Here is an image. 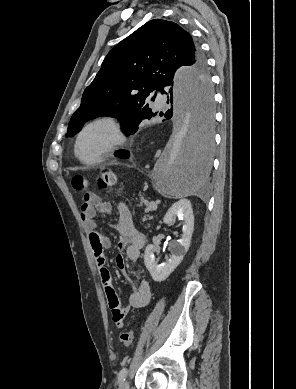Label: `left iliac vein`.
Returning a JSON list of instances; mask_svg holds the SVG:
<instances>
[{
    "mask_svg": "<svg viewBox=\"0 0 296 389\" xmlns=\"http://www.w3.org/2000/svg\"><path fill=\"white\" fill-rule=\"evenodd\" d=\"M119 389H129V383L127 380H123L121 381L120 385H119Z\"/></svg>",
    "mask_w": 296,
    "mask_h": 389,
    "instance_id": "4c4485c4",
    "label": "left iliac vein"
}]
</instances>
